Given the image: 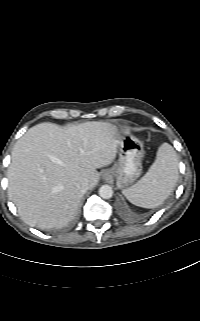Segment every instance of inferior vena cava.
Listing matches in <instances>:
<instances>
[{
	"mask_svg": "<svg viewBox=\"0 0 200 321\" xmlns=\"http://www.w3.org/2000/svg\"><path fill=\"white\" fill-rule=\"evenodd\" d=\"M76 186L81 192L84 193L88 190V181L86 179L80 180L77 182Z\"/></svg>",
	"mask_w": 200,
	"mask_h": 321,
	"instance_id": "1",
	"label": "inferior vena cava"
}]
</instances>
